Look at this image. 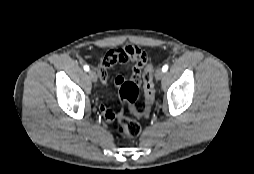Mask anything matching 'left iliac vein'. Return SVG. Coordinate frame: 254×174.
<instances>
[{
    "instance_id": "4c4485c4",
    "label": "left iliac vein",
    "mask_w": 254,
    "mask_h": 174,
    "mask_svg": "<svg viewBox=\"0 0 254 174\" xmlns=\"http://www.w3.org/2000/svg\"><path fill=\"white\" fill-rule=\"evenodd\" d=\"M163 76H164V72L162 71V69L158 68L155 72V79L161 80Z\"/></svg>"
}]
</instances>
